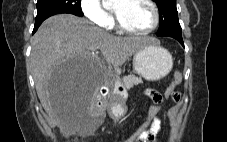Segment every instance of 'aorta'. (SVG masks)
<instances>
[{
    "label": "aorta",
    "mask_w": 227,
    "mask_h": 142,
    "mask_svg": "<svg viewBox=\"0 0 227 142\" xmlns=\"http://www.w3.org/2000/svg\"><path fill=\"white\" fill-rule=\"evenodd\" d=\"M114 2V0H102L104 6L110 5Z\"/></svg>",
    "instance_id": "obj_1"
}]
</instances>
